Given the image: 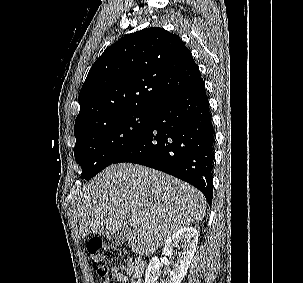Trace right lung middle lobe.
I'll return each mask as SVG.
<instances>
[{
    "label": "right lung middle lobe",
    "mask_w": 303,
    "mask_h": 283,
    "mask_svg": "<svg viewBox=\"0 0 303 283\" xmlns=\"http://www.w3.org/2000/svg\"><path fill=\"white\" fill-rule=\"evenodd\" d=\"M152 111H131L75 132V159L89 180L112 164L146 131Z\"/></svg>",
    "instance_id": "obj_1"
}]
</instances>
